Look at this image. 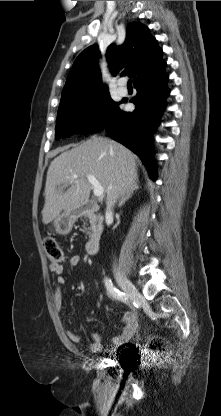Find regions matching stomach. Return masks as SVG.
<instances>
[{
  "instance_id": "1",
  "label": "stomach",
  "mask_w": 221,
  "mask_h": 416,
  "mask_svg": "<svg viewBox=\"0 0 221 416\" xmlns=\"http://www.w3.org/2000/svg\"><path fill=\"white\" fill-rule=\"evenodd\" d=\"M77 217V214L68 210L57 216L53 221L56 233L60 235L69 234Z\"/></svg>"
}]
</instances>
